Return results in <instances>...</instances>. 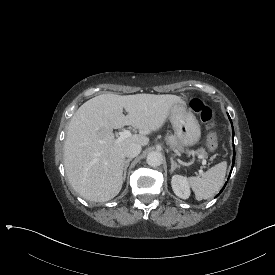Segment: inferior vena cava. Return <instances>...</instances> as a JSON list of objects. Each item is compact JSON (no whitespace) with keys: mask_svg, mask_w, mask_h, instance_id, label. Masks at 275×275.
<instances>
[{"mask_svg":"<svg viewBox=\"0 0 275 275\" xmlns=\"http://www.w3.org/2000/svg\"><path fill=\"white\" fill-rule=\"evenodd\" d=\"M141 152V145L137 143H130L124 148L125 157H136Z\"/></svg>","mask_w":275,"mask_h":275,"instance_id":"602c4592","label":"inferior vena cava"}]
</instances>
